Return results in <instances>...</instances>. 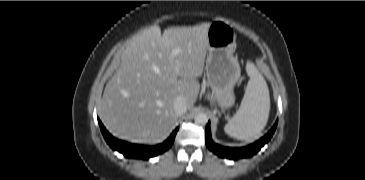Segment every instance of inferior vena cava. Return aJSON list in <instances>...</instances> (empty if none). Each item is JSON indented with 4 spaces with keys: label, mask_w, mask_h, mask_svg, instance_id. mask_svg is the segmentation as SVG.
Here are the masks:
<instances>
[{
    "label": "inferior vena cava",
    "mask_w": 365,
    "mask_h": 180,
    "mask_svg": "<svg viewBox=\"0 0 365 180\" xmlns=\"http://www.w3.org/2000/svg\"><path fill=\"white\" fill-rule=\"evenodd\" d=\"M174 111L177 116L184 114L187 111L186 102L182 97H177L173 104Z\"/></svg>",
    "instance_id": "inferior-vena-cava-1"
}]
</instances>
